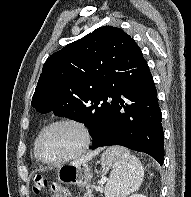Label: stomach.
Listing matches in <instances>:
<instances>
[{"mask_svg": "<svg viewBox=\"0 0 191 197\" xmlns=\"http://www.w3.org/2000/svg\"><path fill=\"white\" fill-rule=\"evenodd\" d=\"M101 164L106 168L115 164V159L110 155L109 150L102 154ZM57 175L61 183L77 185L80 188L86 186L91 178L90 169L87 163L79 165L68 164L62 166L58 169Z\"/></svg>", "mask_w": 191, "mask_h": 197, "instance_id": "stomach-1", "label": "stomach"}]
</instances>
